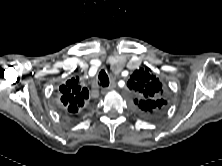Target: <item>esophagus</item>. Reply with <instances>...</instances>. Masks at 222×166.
<instances>
[{"mask_svg":"<svg viewBox=\"0 0 222 166\" xmlns=\"http://www.w3.org/2000/svg\"><path fill=\"white\" fill-rule=\"evenodd\" d=\"M115 86H116V84H115L114 82H112L109 87L102 88L101 93H102V94H106L108 91L114 89Z\"/></svg>","mask_w":222,"mask_h":166,"instance_id":"34e87169","label":"esophagus"}]
</instances>
